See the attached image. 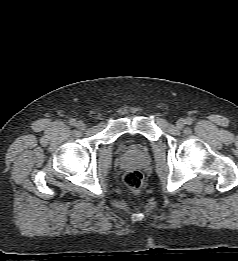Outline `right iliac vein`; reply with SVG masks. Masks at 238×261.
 Here are the masks:
<instances>
[{"label":"right iliac vein","instance_id":"1","mask_svg":"<svg viewBox=\"0 0 238 261\" xmlns=\"http://www.w3.org/2000/svg\"><path fill=\"white\" fill-rule=\"evenodd\" d=\"M76 127H77L78 129H80V130H84V129L86 128V124H85L84 122H82V121H78V122L76 123Z\"/></svg>","mask_w":238,"mask_h":261}]
</instances>
